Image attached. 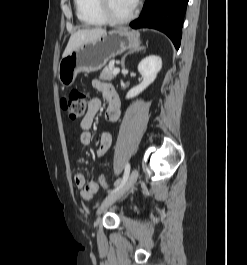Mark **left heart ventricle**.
<instances>
[{
  "instance_id": "b2bd125f",
  "label": "left heart ventricle",
  "mask_w": 247,
  "mask_h": 265,
  "mask_svg": "<svg viewBox=\"0 0 247 265\" xmlns=\"http://www.w3.org/2000/svg\"><path fill=\"white\" fill-rule=\"evenodd\" d=\"M112 12L119 17L127 16L134 8V0H109Z\"/></svg>"
}]
</instances>
